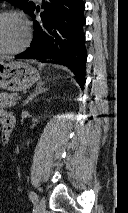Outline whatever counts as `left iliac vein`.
I'll return each instance as SVG.
<instances>
[{"label":"left iliac vein","mask_w":128,"mask_h":213,"mask_svg":"<svg viewBox=\"0 0 128 213\" xmlns=\"http://www.w3.org/2000/svg\"><path fill=\"white\" fill-rule=\"evenodd\" d=\"M37 208L40 211V213H43L45 211L46 203L44 199L41 198L37 201Z\"/></svg>","instance_id":"1"}]
</instances>
